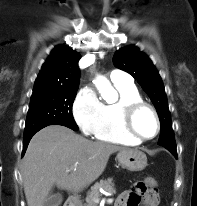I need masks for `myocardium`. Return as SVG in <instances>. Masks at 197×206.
<instances>
[{
  "instance_id": "obj_1",
  "label": "myocardium",
  "mask_w": 197,
  "mask_h": 206,
  "mask_svg": "<svg viewBox=\"0 0 197 206\" xmlns=\"http://www.w3.org/2000/svg\"><path fill=\"white\" fill-rule=\"evenodd\" d=\"M149 110L156 121V131L151 137H144L140 135L134 125L135 117L141 110ZM120 123L123 131L138 142L152 140L158 136L161 130V122L156 109L149 103L139 100L125 102L120 106Z\"/></svg>"
}]
</instances>
